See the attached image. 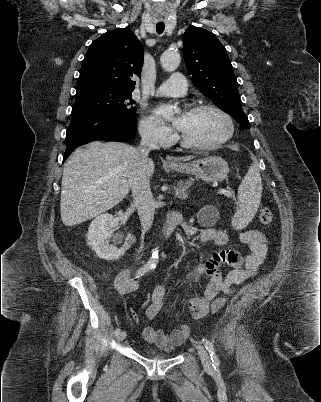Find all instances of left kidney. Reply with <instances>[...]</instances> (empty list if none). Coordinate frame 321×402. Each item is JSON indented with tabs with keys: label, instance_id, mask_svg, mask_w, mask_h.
<instances>
[{
	"label": "left kidney",
	"instance_id": "left-kidney-1",
	"mask_svg": "<svg viewBox=\"0 0 321 402\" xmlns=\"http://www.w3.org/2000/svg\"><path fill=\"white\" fill-rule=\"evenodd\" d=\"M197 218L204 225H213L219 218V212L213 206H206L198 212Z\"/></svg>",
	"mask_w": 321,
	"mask_h": 402
}]
</instances>
